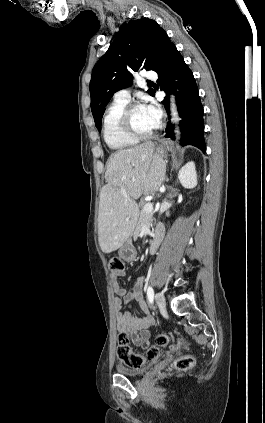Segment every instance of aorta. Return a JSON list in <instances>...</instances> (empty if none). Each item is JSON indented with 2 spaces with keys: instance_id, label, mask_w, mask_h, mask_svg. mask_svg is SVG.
I'll return each mask as SVG.
<instances>
[{
  "instance_id": "762f6f07",
  "label": "aorta",
  "mask_w": 265,
  "mask_h": 423,
  "mask_svg": "<svg viewBox=\"0 0 265 423\" xmlns=\"http://www.w3.org/2000/svg\"><path fill=\"white\" fill-rule=\"evenodd\" d=\"M170 101H171L172 120L175 124H178L179 121H180V118H179L177 107H176V104H175V97L173 95H171ZM175 133H176V138L178 140L180 138V132L178 130V127L176 128Z\"/></svg>"
}]
</instances>
